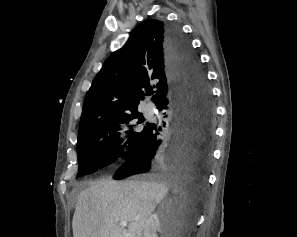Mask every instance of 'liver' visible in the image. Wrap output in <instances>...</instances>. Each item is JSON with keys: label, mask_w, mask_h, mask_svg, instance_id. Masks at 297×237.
I'll use <instances>...</instances> for the list:
<instances>
[{"label": "liver", "mask_w": 297, "mask_h": 237, "mask_svg": "<svg viewBox=\"0 0 297 237\" xmlns=\"http://www.w3.org/2000/svg\"><path fill=\"white\" fill-rule=\"evenodd\" d=\"M168 190L165 181L154 178L93 182L77 198L73 236L142 237L148 218ZM122 221L128 222L127 229L119 225Z\"/></svg>", "instance_id": "1"}]
</instances>
